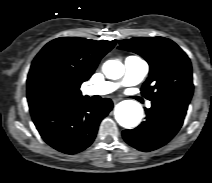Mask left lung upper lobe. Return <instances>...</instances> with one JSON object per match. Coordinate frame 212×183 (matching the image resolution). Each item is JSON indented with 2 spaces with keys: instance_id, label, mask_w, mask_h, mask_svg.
<instances>
[{
  "instance_id": "1",
  "label": "left lung upper lobe",
  "mask_w": 212,
  "mask_h": 183,
  "mask_svg": "<svg viewBox=\"0 0 212 183\" xmlns=\"http://www.w3.org/2000/svg\"><path fill=\"white\" fill-rule=\"evenodd\" d=\"M119 49L137 53L150 66L142 95L152 102L188 105L193 94L190 59L173 41L164 37L122 40Z\"/></svg>"
}]
</instances>
